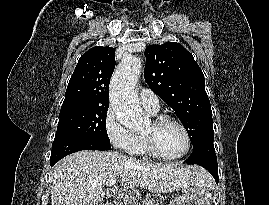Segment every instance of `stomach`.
<instances>
[{"mask_svg":"<svg viewBox=\"0 0 269 205\" xmlns=\"http://www.w3.org/2000/svg\"><path fill=\"white\" fill-rule=\"evenodd\" d=\"M210 201V194L205 187L191 185L181 189L170 205H210ZM144 205H163V201L155 196H149Z\"/></svg>","mask_w":269,"mask_h":205,"instance_id":"obj_1","label":"stomach"}]
</instances>
